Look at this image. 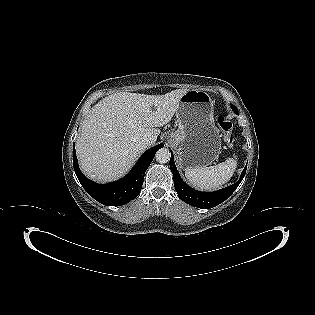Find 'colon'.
<instances>
[{
  "label": "colon",
  "mask_w": 315,
  "mask_h": 315,
  "mask_svg": "<svg viewBox=\"0 0 315 315\" xmlns=\"http://www.w3.org/2000/svg\"><path fill=\"white\" fill-rule=\"evenodd\" d=\"M217 124L223 132L225 143L229 147H232L234 144V138L232 134V130H233L232 122L229 119H227L225 116L219 115L217 117Z\"/></svg>",
  "instance_id": "obj_1"
}]
</instances>
